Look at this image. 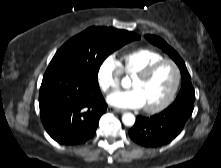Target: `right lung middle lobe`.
Wrapping results in <instances>:
<instances>
[{
	"mask_svg": "<svg viewBox=\"0 0 221 168\" xmlns=\"http://www.w3.org/2000/svg\"><path fill=\"white\" fill-rule=\"evenodd\" d=\"M129 31L90 27L68 40L54 55L47 71L83 73L98 81L102 62L123 45L139 39Z\"/></svg>",
	"mask_w": 221,
	"mask_h": 168,
	"instance_id": "dd1d6c3e",
	"label": "right lung middle lobe"
}]
</instances>
